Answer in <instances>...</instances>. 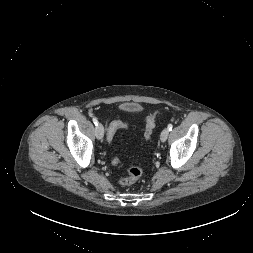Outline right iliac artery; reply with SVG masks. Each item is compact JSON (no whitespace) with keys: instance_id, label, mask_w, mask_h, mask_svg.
Instances as JSON below:
<instances>
[{"instance_id":"obj_1","label":"right iliac artery","mask_w":253,"mask_h":253,"mask_svg":"<svg viewBox=\"0 0 253 253\" xmlns=\"http://www.w3.org/2000/svg\"><path fill=\"white\" fill-rule=\"evenodd\" d=\"M93 123L97 126L98 125V120L96 118H93Z\"/></svg>"}]
</instances>
